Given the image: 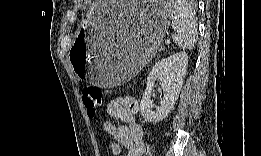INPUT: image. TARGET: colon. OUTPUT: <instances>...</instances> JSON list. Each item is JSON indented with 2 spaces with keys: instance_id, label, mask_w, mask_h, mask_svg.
Returning a JSON list of instances; mask_svg holds the SVG:
<instances>
[{
  "instance_id": "colon-1",
  "label": "colon",
  "mask_w": 261,
  "mask_h": 156,
  "mask_svg": "<svg viewBox=\"0 0 261 156\" xmlns=\"http://www.w3.org/2000/svg\"><path fill=\"white\" fill-rule=\"evenodd\" d=\"M82 99L90 117H93L103 107L101 90L96 86H87L82 91Z\"/></svg>"
}]
</instances>
